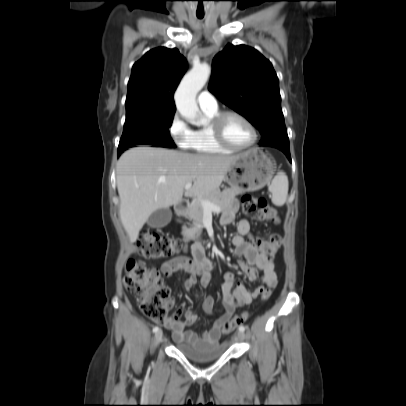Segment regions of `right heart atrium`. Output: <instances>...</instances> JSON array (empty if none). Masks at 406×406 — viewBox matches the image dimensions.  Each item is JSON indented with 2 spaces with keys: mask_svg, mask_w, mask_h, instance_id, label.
Masks as SVG:
<instances>
[{
  "mask_svg": "<svg viewBox=\"0 0 406 406\" xmlns=\"http://www.w3.org/2000/svg\"><path fill=\"white\" fill-rule=\"evenodd\" d=\"M192 132L186 120L176 111L169 124V133L174 142L179 147L187 148L191 140Z\"/></svg>",
  "mask_w": 406,
  "mask_h": 406,
  "instance_id": "obj_1",
  "label": "right heart atrium"
}]
</instances>
